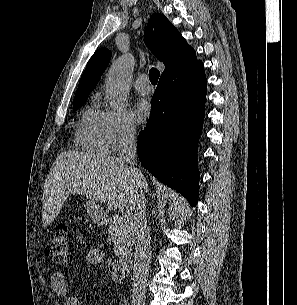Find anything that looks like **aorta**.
I'll use <instances>...</instances> for the list:
<instances>
[{
  "label": "aorta",
  "instance_id": "1",
  "mask_svg": "<svg viewBox=\"0 0 297 305\" xmlns=\"http://www.w3.org/2000/svg\"><path fill=\"white\" fill-rule=\"evenodd\" d=\"M132 55H123L109 69L106 81V96L113 110L122 111L129 94L130 77L133 70Z\"/></svg>",
  "mask_w": 297,
  "mask_h": 305
}]
</instances>
